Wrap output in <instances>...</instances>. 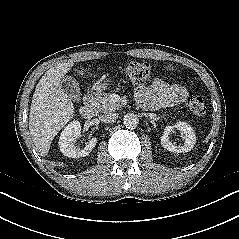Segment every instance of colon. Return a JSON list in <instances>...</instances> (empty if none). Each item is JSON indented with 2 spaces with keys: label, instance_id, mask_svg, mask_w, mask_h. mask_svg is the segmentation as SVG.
I'll use <instances>...</instances> for the list:
<instances>
[{
  "label": "colon",
  "instance_id": "obj_1",
  "mask_svg": "<svg viewBox=\"0 0 239 239\" xmlns=\"http://www.w3.org/2000/svg\"><path fill=\"white\" fill-rule=\"evenodd\" d=\"M153 65L146 61H136L129 63L125 68L126 77L134 84L144 83L153 71ZM168 70L171 68L166 67ZM186 105L192 114L201 116L205 113V102L200 95H191L186 100Z\"/></svg>",
  "mask_w": 239,
  "mask_h": 239
}]
</instances>
